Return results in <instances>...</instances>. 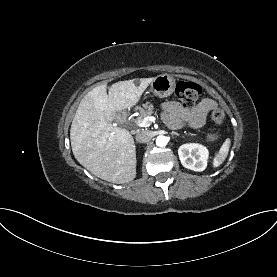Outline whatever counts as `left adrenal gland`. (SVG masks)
<instances>
[{
	"mask_svg": "<svg viewBox=\"0 0 277 277\" xmlns=\"http://www.w3.org/2000/svg\"><path fill=\"white\" fill-rule=\"evenodd\" d=\"M171 135H172V136H173V135L179 136V134H178L177 132H172Z\"/></svg>",
	"mask_w": 277,
	"mask_h": 277,
	"instance_id": "a2214340",
	"label": "left adrenal gland"
}]
</instances>
